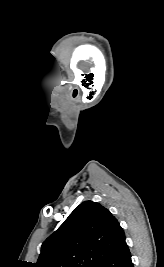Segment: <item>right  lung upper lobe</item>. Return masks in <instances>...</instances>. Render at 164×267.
<instances>
[{
    "mask_svg": "<svg viewBox=\"0 0 164 267\" xmlns=\"http://www.w3.org/2000/svg\"><path fill=\"white\" fill-rule=\"evenodd\" d=\"M124 246L117 219L99 203L85 201L43 242L35 267H99Z\"/></svg>",
    "mask_w": 164,
    "mask_h": 267,
    "instance_id": "right-lung-upper-lobe-1",
    "label": "right lung upper lobe"
}]
</instances>
